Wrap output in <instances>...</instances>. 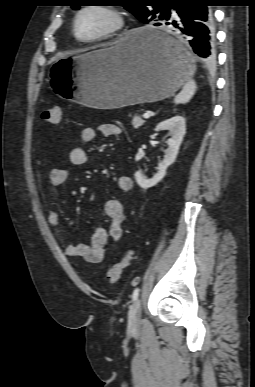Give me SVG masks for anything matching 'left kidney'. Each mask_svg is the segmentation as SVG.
<instances>
[{
    "label": "left kidney",
    "instance_id": "5707ae66",
    "mask_svg": "<svg viewBox=\"0 0 255 387\" xmlns=\"http://www.w3.org/2000/svg\"><path fill=\"white\" fill-rule=\"evenodd\" d=\"M157 131L169 130L171 138L167 140L168 148L165 150L164 159L158 164V171L152 178H146L141 171H136L134 176L137 184L143 188L148 189L160 182L166 175L167 168L174 163L179 147L183 141L186 133L185 119L182 116L176 115L159 123L156 127Z\"/></svg>",
    "mask_w": 255,
    "mask_h": 387
}]
</instances>
